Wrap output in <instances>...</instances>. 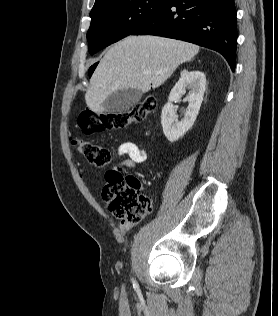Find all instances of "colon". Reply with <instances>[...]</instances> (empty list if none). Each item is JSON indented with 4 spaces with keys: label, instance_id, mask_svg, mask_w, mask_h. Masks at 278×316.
Returning <instances> with one entry per match:
<instances>
[{
    "label": "colon",
    "instance_id": "colon-1",
    "mask_svg": "<svg viewBox=\"0 0 278 316\" xmlns=\"http://www.w3.org/2000/svg\"><path fill=\"white\" fill-rule=\"evenodd\" d=\"M156 99L147 97L136 107L118 113L97 114L83 110L77 119L79 129L84 134H93L109 129L123 128L130 123L144 120L156 108ZM78 151L93 165L104 167L113 159L111 150L95 145L87 140L74 142ZM102 196L109 211L129 224L140 222L149 211V200L140 193V181L125 175L122 169L108 171L105 176Z\"/></svg>",
    "mask_w": 278,
    "mask_h": 316
}]
</instances>
